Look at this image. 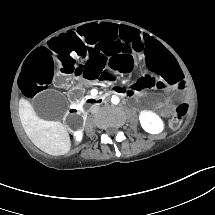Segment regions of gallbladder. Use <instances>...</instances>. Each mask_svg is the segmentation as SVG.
Listing matches in <instances>:
<instances>
[{"mask_svg":"<svg viewBox=\"0 0 215 215\" xmlns=\"http://www.w3.org/2000/svg\"><path fill=\"white\" fill-rule=\"evenodd\" d=\"M66 107L65 97L56 89L41 91L33 99L34 114L49 121L61 119Z\"/></svg>","mask_w":215,"mask_h":215,"instance_id":"1","label":"gallbladder"}]
</instances>
